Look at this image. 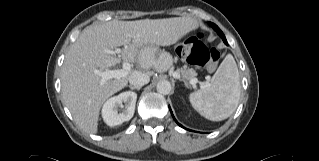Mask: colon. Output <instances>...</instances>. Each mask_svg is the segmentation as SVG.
I'll use <instances>...</instances> for the list:
<instances>
[{
	"instance_id": "5ec220e1",
	"label": "colon",
	"mask_w": 319,
	"mask_h": 161,
	"mask_svg": "<svg viewBox=\"0 0 319 161\" xmlns=\"http://www.w3.org/2000/svg\"><path fill=\"white\" fill-rule=\"evenodd\" d=\"M203 33L198 32L177 45L178 57L194 67H214L220 59V51L211 47L208 48L202 42Z\"/></svg>"
}]
</instances>
